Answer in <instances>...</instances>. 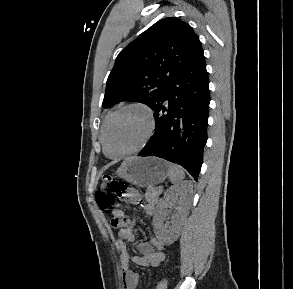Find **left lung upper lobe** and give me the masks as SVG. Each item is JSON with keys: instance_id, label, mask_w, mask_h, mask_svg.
I'll use <instances>...</instances> for the list:
<instances>
[{"instance_id": "1", "label": "left lung upper lobe", "mask_w": 293, "mask_h": 289, "mask_svg": "<svg viewBox=\"0 0 293 289\" xmlns=\"http://www.w3.org/2000/svg\"><path fill=\"white\" fill-rule=\"evenodd\" d=\"M202 51L188 23L175 17L158 21L117 56L106 83L103 107L128 100L152 109L169 83Z\"/></svg>"}]
</instances>
